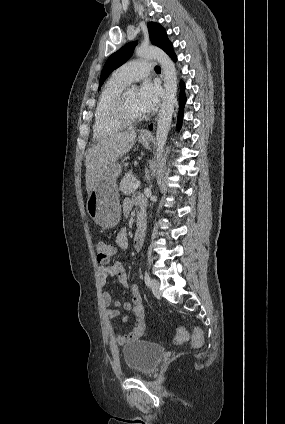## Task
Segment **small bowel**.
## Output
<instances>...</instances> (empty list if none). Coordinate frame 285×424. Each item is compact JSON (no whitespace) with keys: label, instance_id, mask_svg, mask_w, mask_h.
<instances>
[{"label":"small bowel","instance_id":"small-bowel-1","mask_svg":"<svg viewBox=\"0 0 285 424\" xmlns=\"http://www.w3.org/2000/svg\"><path fill=\"white\" fill-rule=\"evenodd\" d=\"M138 205H142L143 201L138 198L136 200ZM133 206L131 200H126L123 203V212L125 215L129 214ZM115 244L119 250L124 251L128 246V239L125 230H120L115 238ZM143 244V239L136 236L134 239V247L136 250H140ZM100 287L104 289L109 278H117L119 282L125 286L132 295V300L122 303L121 301H115L114 308H109L112 302L111 295L108 291L103 290L101 293L100 301L101 305L105 308V316L108 320L119 316V307H123L125 311L133 313L134 323L130 331L126 334L116 336L115 342L118 345H124L130 341L139 339L145 331V312L142 304V297L138 285H129L127 282V274L121 261L117 260L112 264L99 267ZM128 316L123 317V321L127 322Z\"/></svg>","mask_w":285,"mask_h":424}]
</instances>
